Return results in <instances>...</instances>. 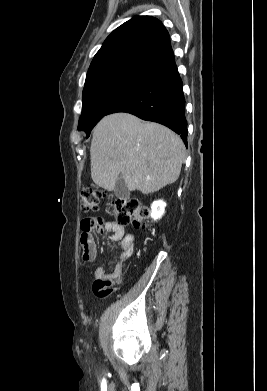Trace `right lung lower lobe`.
<instances>
[{
	"instance_id": "obj_1",
	"label": "right lung lower lobe",
	"mask_w": 267,
	"mask_h": 391,
	"mask_svg": "<svg viewBox=\"0 0 267 391\" xmlns=\"http://www.w3.org/2000/svg\"><path fill=\"white\" fill-rule=\"evenodd\" d=\"M182 80L175 62L156 71L108 114L127 112L160 123L179 134L187 145V121ZM107 114V115H108Z\"/></svg>"
}]
</instances>
